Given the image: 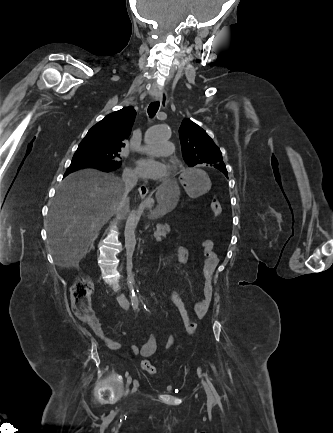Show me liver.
I'll use <instances>...</instances> for the list:
<instances>
[{
    "label": "liver",
    "instance_id": "6515ba94",
    "mask_svg": "<svg viewBox=\"0 0 333 433\" xmlns=\"http://www.w3.org/2000/svg\"><path fill=\"white\" fill-rule=\"evenodd\" d=\"M177 183H160L157 205L148 218L155 220L170 212L178 201ZM124 183L111 173L83 169L68 175L49 204L48 244L57 266H79L99 230L116 213L129 206L123 200Z\"/></svg>",
    "mask_w": 333,
    "mask_h": 433
}]
</instances>
